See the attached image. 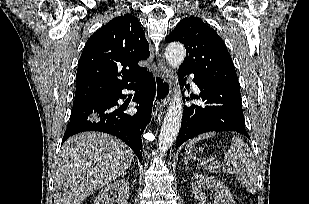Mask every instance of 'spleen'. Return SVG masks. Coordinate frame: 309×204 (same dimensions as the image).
<instances>
[{
	"label": "spleen",
	"mask_w": 309,
	"mask_h": 204,
	"mask_svg": "<svg viewBox=\"0 0 309 204\" xmlns=\"http://www.w3.org/2000/svg\"><path fill=\"white\" fill-rule=\"evenodd\" d=\"M215 136L214 132L202 134L192 139L187 148L202 139ZM190 153V152H189ZM224 162L232 165L237 172V180L248 192L255 193L257 189L258 171L251 149L240 137H233L230 148L224 155Z\"/></svg>",
	"instance_id": "spleen-1"
}]
</instances>
